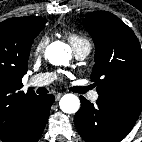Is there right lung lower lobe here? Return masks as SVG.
Returning <instances> with one entry per match:
<instances>
[{
  "label": "right lung lower lobe",
  "instance_id": "1",
  "mask_svg": "<svg viewBox=\"0 0 142 142\" xmlns=\"http://www.w3.org/2000/svg\"><path fill=\"white\" fill-rule=\"evenodd\" d=\"M55 100L52 94L38 96L31 104L22 123L12 136L4 142H37L49 118L50 108Z\"/></svg>",
  "mask_w": 142,
  "mask_h": 142
}]
</instances>
